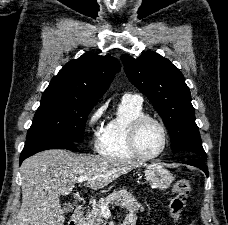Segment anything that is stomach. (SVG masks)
Wrapping results in <instances>:
<instances>
[{
  "label": "stomach",
  "mask_w": 228,
  "mask_h": 225,
  "mask_svg": "<svg viewBox=\"0 0 228 225\" xmlns=\"http://www.w3.org/2000/svg\"><path fill=\"white\" fill-rule=\"evenodd\" d=\"M144 175L151 187L153 189H159V191H165L174 181L173 175L161 163L145 165Z\"/></svg>",
  "instance_id": "1"
}]
</instances>
